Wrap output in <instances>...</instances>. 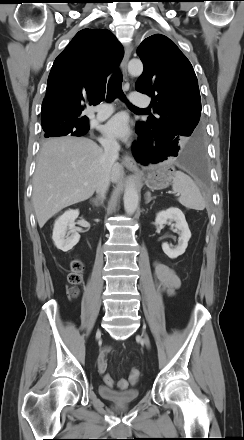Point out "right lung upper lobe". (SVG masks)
I'll return each mask as SVG.
<instances>
[{
  "mask_svg": "<svg viewBox=\"0 0 244 440\" xmlns=\"http://www.w3.org/2000/svg\"><path fill=\"white\" fill-rule=\"evenodd\" d=\"M123 54V46L109 30L79 31L53 63L42 102V124L88 125L82 111L104 100L107 76Z\"/></svg>",
  "mask_w": 244,
  "mask_h": 440,
  "instance_id": "cb5924a9",
  "label": "right lung upper lobe"
}]
</instances>
